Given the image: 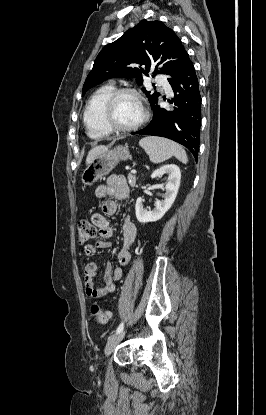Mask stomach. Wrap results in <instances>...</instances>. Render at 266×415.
<instances>
[{"mask_svg": "<svg viewBox=\"0 0 266 415\" xmlns=\"http://www.w3.org/2000/svg\"><path fill=\"white\" fill-rule=\"evenodd\" d=\"M130 158L127 146L119 145L114 149H106L97 155L81 174V182L84 186L93 185L98 179L109 174L120 162Z\"/></svg>", "mask_w": 266, "mask_h": 415, "instance_id": "obj_1", "label": "stomach"}]
</instances>
